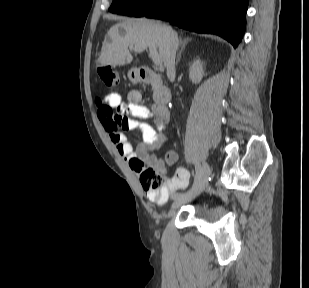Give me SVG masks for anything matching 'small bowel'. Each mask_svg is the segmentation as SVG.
Here are the masks:
<instances>
[{"mask_svg": "<svg viewBox=\"0 0 309 288\" xmlns=\"http://www.w3.org/2000/svg\"><path fill=\"white\" fill-rule=\"evenodd\" d=\"M103 103L111 108H122L130 116L124 125L118 126L106 114L99 112V119L112 144L133 171L136 173L143 171L144 162L163 169L177 161L178 155L175 151H168L162 159L150 154L151 151L160 149L167 141L169 115L166 110L155 104L145 105L138 92H131L126 103L122 102L118 93H110ZM151 118L154 120L153 125L145 122ZM121 129L140 132L142 142L134 148ZM188 180V171L178 168L173 177L168 179L158 192L147 191L146 198L152 203L164 204L173 192L185 188Z\"/></svg>", "mask_w": 309, "mask_h": 288, "instance_id": "1", "label": "small bowel"}]
</instances>
